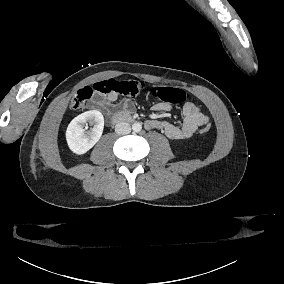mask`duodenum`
Returning a JSON list of instances; mask_svg holds the SVG:
<instances>
[{"instance_id": "obj_1", "label": "duodenum", "mask_w": 284, "mask_h": 284, "mask_svg": "<svg viewBox=\"0 0 284 284\" xmlns=\"http://www.w3.org/2000/svg\"><path fill=\"white\" fill-rule=\"evenodd\" d=\"M132 118L128 114H119V113H114L112 116V122L114 124H119L122 122H127L130 121Z\"/></svg>"}]
</instances>
